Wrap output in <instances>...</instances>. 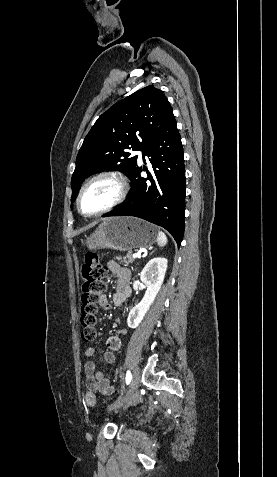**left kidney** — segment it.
<instances>
[{"label":"left kidney","mask_w":277,"mask_h":477,"mask_svg":"<svg viewBox=\"0 0 277 477\" xmlns=\"http://www.w3.org/2000/svg\"><path fill=\"white\" fill-rule=\"evenodd\" d=\"M167 259L157 257L151 259L143 268L140 279L147 286L143 299L133 307L128 315L127 324L130 328H136L149 311L164 281L167 270Z\"/></svg>","instance_id":"1"}]
</instances>
